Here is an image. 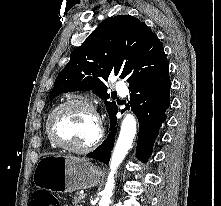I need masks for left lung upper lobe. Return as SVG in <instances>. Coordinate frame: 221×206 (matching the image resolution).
Instances as JSON below:
<instances>
[{
  "label": "left lung upper lobe",
  "mask_w": 221,
  "mask_h": 206,
  "mask_svg": "<svg viewBox=\"0 0 221 206\" xmlns=\"http://www.w3.org/2000/svg\"><path fill=\"white\" fill-rule=\"evenodd\" d=\"M168 68L163 46L156 34L138 18L118 15L100 24L70 54L58 74L50 100L63 92L92 90L108 99L104 81L111 73L129 83V88ZM111 120L117 106L105 101Z\"/></svg>",
  "instance_id": "left-lung-upper-lobe-1"
}]
</instances>
